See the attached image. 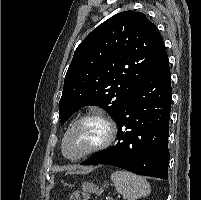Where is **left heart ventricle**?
<instances>
[{
    "instance_id": "1",
    "label": "left heart ventricle",
    "mask_w": 201,
    "mask_h": 200,
    "mask_svg": "<svg viewBox=\"0 0 201 200\" xmlns=\"http://www.w3.org/2000/svg\"><path fill=\"white\" fill-rule=\"evenodd\" d=\"M105 134L104 126L89 120L78 124L70 133L67 140V154L75 157L99 143Z\"/></svg>"
}]
</instances>
